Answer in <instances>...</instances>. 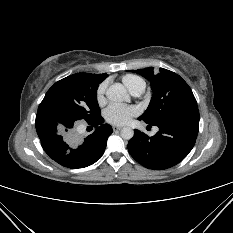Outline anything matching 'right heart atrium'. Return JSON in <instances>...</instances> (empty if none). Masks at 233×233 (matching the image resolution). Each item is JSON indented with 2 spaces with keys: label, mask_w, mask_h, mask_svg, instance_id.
<instances>
[{
  "label": "right heart atrium",
  "mask_w": 233,
  "mask_h": 233,
  "mask_svg": "<svg viewBox=\"0 0 233 233\" xmlns=\"http://www.w3.org/2000/svg\"><path fill=\"white\" fill-rule=\"evenodd\" d=\"M96 100L99 104L104 103L105 101V85L101 84L96 91Z\"/></svg>",
  "instance_id": "1"
}]
</instances>
